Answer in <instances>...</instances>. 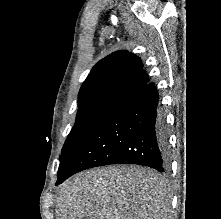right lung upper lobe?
I'll return each instance as SVG.
<instances>
[{"mask_svg":"<svg viewBox=\"0 0 221 219\" xmlns=\"http://www.w3.org/2000/svg\"><path fill=\"white\" fill-rule=\"evenodd\" d=\"M141 60L128 51H116L99 61L84 81L78 94V105L126 96L148 84Z\"/></svg>","mask_w":221,"mask_h":219,"instance_id":"cb5924a9","label":"right lung upper lobe"}]
</instances>
